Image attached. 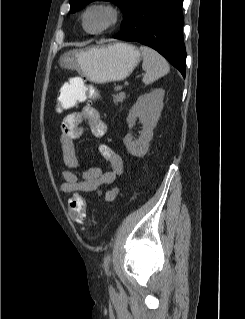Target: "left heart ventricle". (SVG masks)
Returning a JSON list of instances; mask_svg holds the SVG:
<instances>
[{
	"mask_svg": "<svg viewBox=\"0 0 245 319\" xmlns=\"http://www.w3.org/2000/svg\"><path fill=\"white\" fill-rule=\"evenodd\" d=\"M109 20V15L104 11H93L87 18V26L91 30H95L104 26Z\"/></svg>",
	"mask_w": 245,
	"mask_h": 319,
	"instance_id": "1",
	"label": "left heart ventricle"
}]
</instances>
